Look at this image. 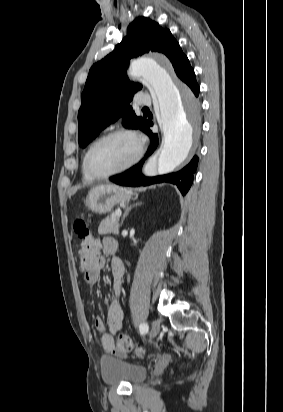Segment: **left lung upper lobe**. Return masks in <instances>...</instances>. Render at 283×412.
<instances>
[{"instance_id": "left-lung-upper-lobe-1", "label": "left lung upper lobe", "mask_w": 283, "mask_h": 412, "mask_svg": "<svg viewBox=\"0 0 283 412\" xmlns=\"http://www.w3.org/2000/svg\"><path fill=\"white\" fill-rule=\"evenodd\" d=\"M149 51L165 54L181 80L193 71L188 58L168 29H163L148 18L135 19L115 51L94 64L89 71L78 112V140L81 147H85L106 126L121 117L126 128L143 130L147 126L148 120L137 117L129 105L133 93L142 86L128 81L126 68L131 58Z\"/></svg>"}]
</instances>
